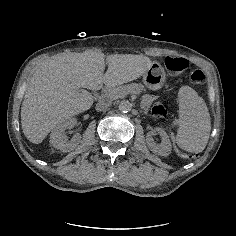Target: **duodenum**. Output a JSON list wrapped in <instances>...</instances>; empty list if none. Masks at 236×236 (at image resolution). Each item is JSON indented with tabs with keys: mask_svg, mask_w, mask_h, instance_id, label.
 <instances>
[{
	"mask_svg": "<svg viewBox=\"0 0 236 236\" xmlns=\"http://www.w3.org/2000/svg\"><path fill=\"white\" fill-rule=\"evenodd\" d=\"M108 86H109L108 84H104V85H103V89H104V90L107 89Z\"/></svg>",
	"mask_w": 236,
	"mask_h": 236,
	"instance_id": "1",
	"label": "duodenum"
}]
</instances>
